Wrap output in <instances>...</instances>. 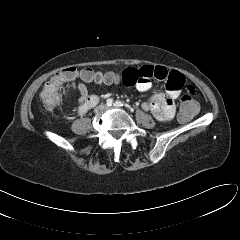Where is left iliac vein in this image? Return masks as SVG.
<instances>
[{
  "mask_svg": "<svg viewBox=\"0 0 240 240\" xmlns=\"http://www.w3.org/2000/svg\"><path fill=\"white\" fill-rule=\"evenodd\" d=\"M108 108H110V107H107V106L105 107V109H108Z\"/></svg>",
  "mask_w": 240,
  "mask_h": 240,
  "instance_id": "4c4485c4",
  "label": "left iliac vein"
}]
</instances>
